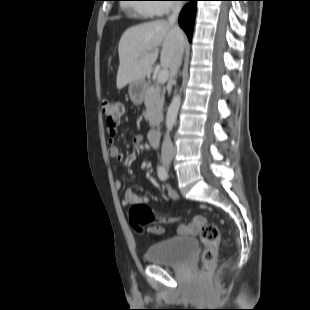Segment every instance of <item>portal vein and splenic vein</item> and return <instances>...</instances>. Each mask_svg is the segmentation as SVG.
Instances as JSON below:
<instances>
[{
  "mask_svg": "<svg viewBox=\"0 0 310 310\" xmlns=\"http://www.w3.org/2000/svg\"><path fill=\"white\" fill-rule=\"evenodd\" d=\"M169 77V72L167 69H162L159 73H158V77H157V81L159 84H164L167 79Z\"/></svg>",
  "mask_w": 310,
  "mask_h": 310,
  "instance_id": "obj_1",
  "label": "portal vein and splenic vein"
}]
</instances>
